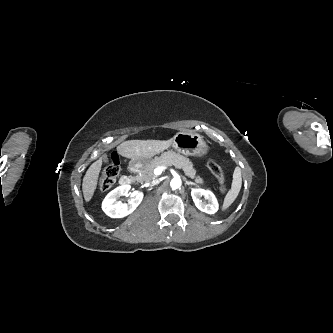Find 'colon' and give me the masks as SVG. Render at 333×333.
Returning a JSON list of instances; mask_svg holds the SVG:
<instances>
[{"label":"colon","instance_id":"5ec220e1","mask_svg":"<svg viewBox=\"0 0 333 333\" xmlns=\"http://www.w3.org/2000/svg\"><path fill=\"white\" fill-rule=\"evenodd\" d=\"M207 168L216 177L222 192H226L227 185L222 167L213 159L207 160ZM120 170V160L117 155H113L109 164L104 168L99 179V190H108L115 183Z\"/></svg>","mask_w":333,"mask_h":333}]
</instances>
